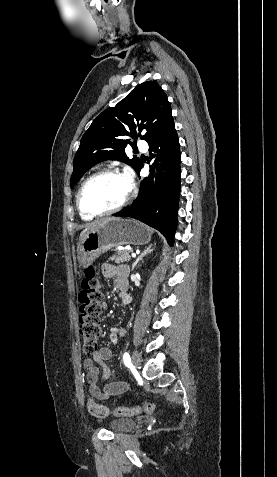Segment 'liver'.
<instances>
[{
    "instance_id": "liver-1",
    "label": "liver",
    "mask_w": 277,
    "mask_h": 477,
    "mask_svg": "<svg viewBox=\"0 0 277 477\" xmlns=\"http://www.w3.org/2000/svg\"><path fill=\"white\" fill-rule=\"evenodd\" d=\"M102 221H103V220H102ZM100 222H101V221L96 222V223L92 224L91 226H89L88 228H86L85 230H83V232L81 233V235H82L83 233L87 232V231H88L89 229H91L92 227H94V226H96L97 224H99Z\"/></svg>"
}]
</instances>
